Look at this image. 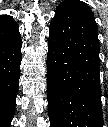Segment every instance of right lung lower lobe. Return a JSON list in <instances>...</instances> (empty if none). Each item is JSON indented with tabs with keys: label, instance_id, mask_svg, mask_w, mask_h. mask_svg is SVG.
<instances>
[{
	"label": "right lung lower lobe",
	"instance_id": "1",
	"mask_svg": "<svg viewBox=\"0 0 108 127\" xmlns=\"http://www.w3.org/2000/svg\"><path fill=\"white\" fill-rule=\"evenodd\" d=\"M21 37L17 23L0 19V125L9 126L15 111L21 63Z\"/></svg>",
	"mask_w": 108,
	"mask_h": 127
}]
</instances>
